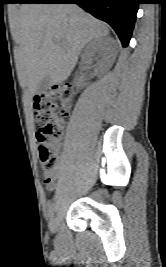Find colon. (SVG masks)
Returning a JSON list of instances; mask_svg holds the SVG:
<instances>
[{"label": "colon", "instance_id": "colon-1", "mask_svg": "<svg viewBox=\"0 0 166 267\" xmlns=\"http://www.w3.org/2000/svg\"><path fill=\"white\" fill-rule=\"evenodd\" d=\"M73 98V87L68 83L57 85L34 98L39 159L45 181L51 180L58 168L57 149L63 135V117L68 115Z\"/></svg>", "mask_w": 166, "mask_h": 267}]
</instances>
